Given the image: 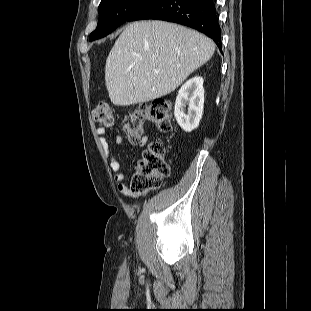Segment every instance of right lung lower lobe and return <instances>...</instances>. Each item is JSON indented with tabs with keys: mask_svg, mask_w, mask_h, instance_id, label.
<instances>
[{
	"mask_svg": "<svg viewBox=\"0 0 311 311\" xmlns=\"http://www.w3.org/2000/svg\"><path fill=\"white\" fill-rule=\"evenodd\" d=\"M156 19L196 29L214 40L221 50V29L214 0H153L127 21Z\"/></svg>",
	"mask_w": 311,
	"mask_h": 311,
	"instance_id": "right-lung-lower-lobe-1",
	"label": "right lung lower lobe"
}]
</instances>
